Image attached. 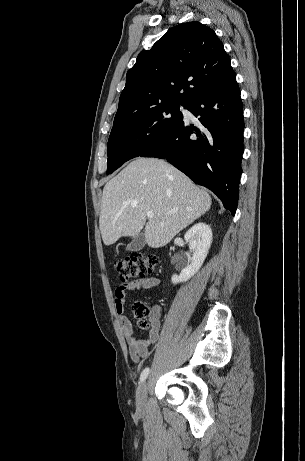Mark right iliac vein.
<instances>
[{
    "label": "right iliac vein",
    "instance_id": "63e3f726",
    "mask_svg": "<svg viewBox=\"0 0 305 461\" xmlns=\"http://www.w3.org/2000/svg\"><path fill=\"white\" fill-rule=\"evenodd\" d=\"M147 398V382L144 381L136 392V406L139 410H143L146 405Z\"/></svg>",
    "mask_w": 305,
    "mask_h": 461
}]
</instances>
